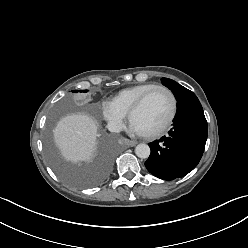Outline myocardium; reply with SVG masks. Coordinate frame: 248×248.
I'll return each instance as SVG.
<instances>
[{
  "instance_id": "myocardium-1",
  "label": "myocardium",
  "mask_w": 248,
  "mask_h": 248,
  "mask_svg": "<svg viewBox=\"0 0 248 248\" xmlns=\"http://www.w3.org/2000/svg\"><path fill=\"white\" fill-rule=\"evenodd\" d=\"M156 91H164L169 95V97L171 99L172 109H171V113H170L169 118L164 123V125H162L158 130H156L152 133H148V134H141L142 136H144L145 138H148V139H156V138L163 136L171 128V126H172V124L176 118L177 110H178L177 99H176L174 93L169 88H167L165 86H156V87L148 90L147 92H145L136 101V103L132 106V108L130 109V111L128 113V120H129L130 124L132 122L133 116L144 106V104L146 103L148 98L152 94H154Z\"/></svg>"
}]
</instances>
